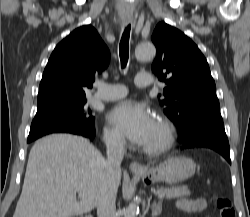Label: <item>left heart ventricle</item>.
<instances>
[{
	"instance_id": "b2bd125f",
	"label": "left heart ventricle",
	"mask_w": 250,
	"mask_h": 217,
	"mask_svg": "<svg viewBox=\"0 0 250 217\" xmlns=\"http://www.w3.org/2000/svg\"><path fill=\"white\" fill-rule=\"evenodd\" d=\"M162 138H163L162 129H161L159 123L157 122V120H155L154 125L152 127V130L148 136V139L143 146L144 147L155 146L161 142Z\"/></svg>"
}]
</instances>
